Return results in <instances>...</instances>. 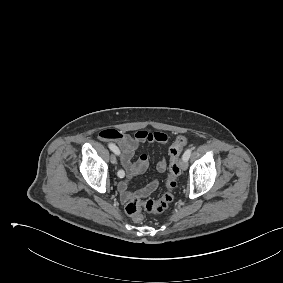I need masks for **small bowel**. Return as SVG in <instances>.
Wrapping results in <instances>:
<instances>
[{"mask_svg":"<svg viewBox=\"0 0 283 283\" xmlns=\"http://www.w3.org/2000/svg\"><path fill=\"white\" fill-rule=\"evenodd\" d=\"M100 138L105 141H113L119 146L121 164L125 170L126 179L121 181L118 189L121 199L124 202L129 201L132 197H146L151 194L158 186L157 178L151 180L147 185L136 192L129 190V179L142 174L148 167L149 161L145 154L140 155L137 161L133 162V156L136 150L145 142H158L165 145L168 142V136L162 132H149L139 130L134 135L116 129H105L100 132ZM159 173L167 169V160L162 158L156 165Z\"/></svg>","mask_w":283,"mask_h":283,"instance_id":"small-bowel-1","label":"small bowel"}]
</instances>
